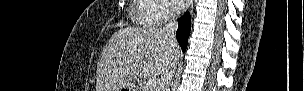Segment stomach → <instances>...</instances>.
Returning a JSON list of instances; mask_svg holds the SVG:
<instances>
[{"instance_id":"stomach-1","label":"stomach","mask_w":304,"mask_h":91,"mask_svg":"<svg viewBox=\"0 0 304 91\" xmlns=\"http://www.w3.org/2000/svg\"><path fill=\"white\" fill-rule=\"evenodd\" d=\"M121 90L136 91L134 88H132L130 86H125Z\"/></svg>"}]
</instances>
